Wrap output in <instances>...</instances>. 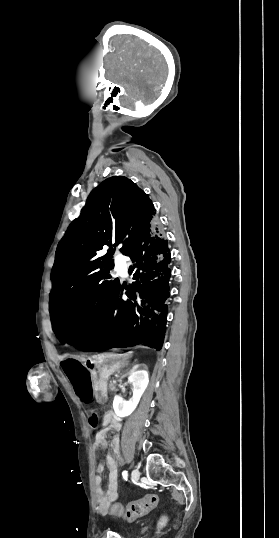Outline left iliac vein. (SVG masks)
Here are the masks:
<instances>
[{
	"mask_svg": "<svg viewBox=\"0 0 279 538\" xmlns=\"http://www.w3.org/2000/svg\"><path fill=\"white\" fill-rule=\"evenodd\" d=\"M132 478H133L134 481H138V480H139V478H140V472H139L138 469H134V470L132 471Z\"/></svg>",
	"mask_w": 279,
	"mask_h": 538,
	"instance_id": "obj_1",
	"label": "left iliac vein"
}]
</instances>
